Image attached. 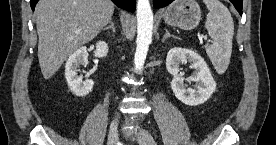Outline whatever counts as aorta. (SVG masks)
<instances>
[{"label":"aorta","instance_id":"1","mask_svg":"<svg viewBox=\"0 0 276 145\" xmlns=\"http://www.w3.org/2000/svg\"><path fill=\"white\" fill-rule=\"evenodd\" d=\"M137 39L134 65L136 72L143 68L152 41L153 12L149 0H137Z\"/></svg>","mask_w":276,"mask_h":145}]
</instances>
